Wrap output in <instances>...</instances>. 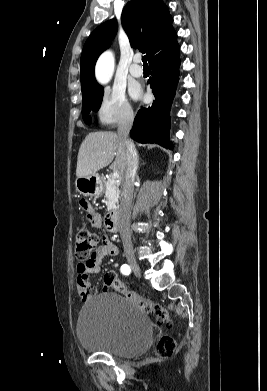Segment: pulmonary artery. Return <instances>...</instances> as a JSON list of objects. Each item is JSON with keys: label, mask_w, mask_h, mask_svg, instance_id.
Returning <instances> with one entry per match:
<instances>
[{"label": "pulmonary artery", "mask_w": 267, "mask_h": 391, "mask_svg": "<svg viewBox=\"0 0 267 391\" xmlns=\"http://www.w3.org/2000/svg\"><path fill=\"white\" fill-rule=\"evenodd\" d=\"M141 60V57L139 55L134 56L133 63L130 66V74L134 77H141L143 75V69L139 65V62Z\"/></svg>", "instance_id": "e3ab8cb5"}]
</instances>
